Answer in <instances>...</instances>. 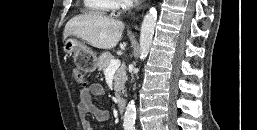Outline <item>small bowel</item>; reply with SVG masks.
<instances>
[{
  "instance_id": "1",
  "label": "small bowel",
  "mask_w": 257,
  "mask_h": 130,
  "mask_svg": "<svg viewBox=\"0 0 257 130\" xmlns=\"http://www.w3.org/2000/svg\"><path fill=\"white\" fill-rule=\"evenodd\" d=\"M104 93L103 87L99 84H91L79 90L78 110L83 130H95L91 122L86 118L88 114L93 115L98 122H104L109 118L108 110L98 108L93 103L94 97L103 96Z\"/></svg>"
}]
</instances>
